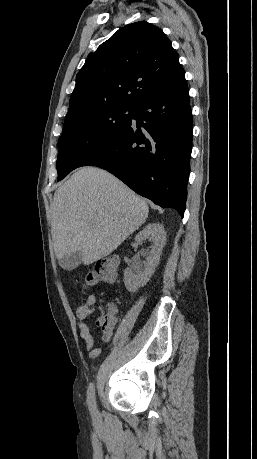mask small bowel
<instances>
[{
	"label": "small bowel",
	"instance_id": "small-bowel-1",
	"mask_svg": "<svg viewBox=\"0 0 257 459\" xmlns=\"http://www.w3.org/2000/svg\"><path fill=\"white\" fill-rule=\"evenodd\" d=\"M96 301V295L89 294L86 302L81 304L75 312L80 337L84 340L86 350L88 351V356L92 360L100 356L103 350L102 347L95 346L94 337L90 331L89 326L85 322L92 315L93 306ZM117 312V305L111 302L107 305L106 310L96 318V325L99 326L102 331L103 342H108L113 335V330L117 323Z\"/></svg>",
	"mask_w": 257,
	"mask_h": 459
}]
</instances>
